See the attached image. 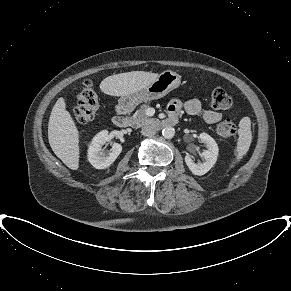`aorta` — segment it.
Masks as SVG:
<instances>
[{"label": "aorta", "mask_w": 291, "mask_h": 291, "mask_svg": "<svg viewBox=\"0 0 291 291\" xmlns=\"http://www.w3.org/2000/svg\"><path fill=\"white\" fill-rule=\"evenodd\" d=\"M174 134H175V130H174V128L171 127V126H166V127H164L163 130H162V135H163V137L166 138V139H171V138H173Z\"/></svg>", "instance_id": "aorta-1"}]
</instances>
